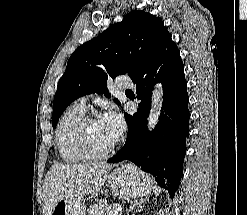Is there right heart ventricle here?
<instances>
[{
  "label": "right heart ventricle",
  "instance_id": "e07e8e85",
  "mask_svg": "<svg viewBox=\"0 0 247 215\" xmlns=\"http://www.w3.org/2000/svg\"><path fill=\"white\" fill-rule=\"evenodd\" d=\"M85 115V108L74 103L62 115L58 122L55 140L61 159L68 163H77L86 160L75 141V127Z\"/></svg>",
  "mask_w": 247,
  "mask_h": 215
}]
</instances>
